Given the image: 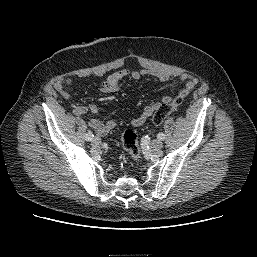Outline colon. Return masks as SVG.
Returning a JSON list of instances; mask_svg holds the SVG:
<instances>
[{"mask_svg":"<svg viewBox=\"0 0 257 257\" xmlns=\"http://www.w3.org/2000/svg\"><path fill=\"white\" fill-rule=\"evenodd\" d=\"M183 98L175 96L170 102L162 103L156 109L153 115V124L160 125L169 114L181 105ZM121 144L133 161H137L140 155L138 139L135 132L127 130L121 137Z\"/></svg>","mask_w":257,"mask_h":257,"instance_id":"1","label":"colon"}]
</instances>
